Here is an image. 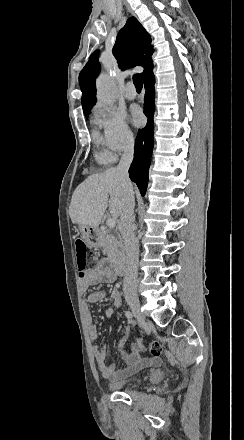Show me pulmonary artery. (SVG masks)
I'll return each mask as SVG.
<instances>
[{
    "label": "pulmonary artery",
    "instance_id": "1",
    "mask_svg": "<svg viewBox=\"0 0 244 440\" xmlns=\"http://www.w3.org/2000/svg\"><path fill=\"white\" fill-rule=\"evenodd\" d=\"M124 96L128 100H133L136 98V89L135 85L132 82H128L125 84V93Z\"/></svg>",
    "mask_w": 244,
    "mask_h": 440
}]
</instances>
